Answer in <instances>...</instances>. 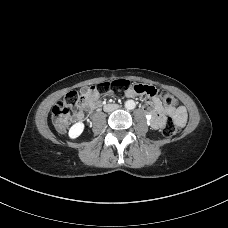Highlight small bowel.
I'll use <instances>...</instances> for the list:
<instances>
[{
    "instance_id": "obj_1",
    "label": "small bowel",
    "mask_w": 228,
    "mask_h": 228,
    "mask_svg": "<svg viewBox=\"0 0 228 228\" xmlns=\"http://www.w3.org/2000/svg\"><path fill=\"white\" fill-rule=\"evenodd\" d=\"M85 92V96L80 100L78 105V110L76 112V119L81 121L84 118V113L88 111H94L98 107V100L100 97L99 91H97L93 86L86 87L82 89ZM136 95L134 90L127 89L125 96L127 98H132ZM151 105L155 111V114L152 116L151 125L154 129H161L164 125V116L165 112L160 100L157 97L151 99ZM146 112L151 114V110L148 106L145 108ZM170 113L175 117L179 125H184L187 120V112L185 107L179 106L170 111Z\"/></svg>"
}]
</instances>
